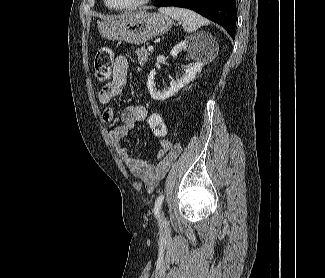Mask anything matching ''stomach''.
<instances>
[{"label": "stomach", "mask_w": 325, "mask_h": 278, "mask_svg": "<svg viewBox=\"0 0 325 278\" xmlns=\"http://www.w3.org/2000/svg\"><path fill=\"white\" fill-rule=\"evenodd\" d=\"M172 20L162 13L133 12L119 20L98 21V31L106 39L140 45L166 33Z\"/></svg>", "instance_id": "obj_1"}]
</instances>
